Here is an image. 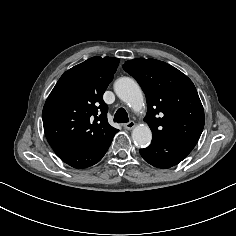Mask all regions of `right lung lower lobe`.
<instances>
[{"label": "right lung lower lobe", "mask_w": 236, "mask_h": 236, "mask_svg": "<svg viewBox=\"0 0 236 236\" xmlns=\"http://www.w3.org/2000/svg\"><path fill=\"white\" fill-rule=\"evenodd\" d=\"M117 132L112 133L104 141L94 146L76 147L59 145L52 148L62 161L74 168L83 169L96 164L102 159L112 142L113 136Z\"/></svg>", "instance_id": "obj_1"}]
</instances>
